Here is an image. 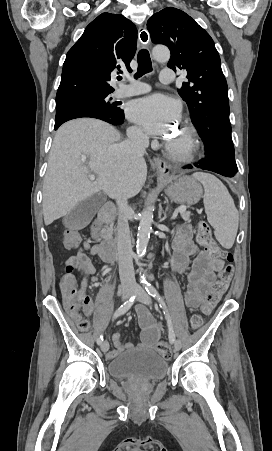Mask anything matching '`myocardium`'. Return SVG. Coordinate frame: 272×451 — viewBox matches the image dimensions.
<instances>
[{
  "instance_id": "f54148a6",
  "label": "myocardium",
  "mask_w": 272,
  "mask_h": 451,
  "mask_svg": "<svg viewBox=\"0 0 272 451\" xmlns=\"http://www.w3.org/2000/svg\"><path fill=\"white\" fill-rule=\"evenodd\" d=\"M183 133L185 135V140L183 143L176 145L174 148L177 154H185L192 150L195 141V132L189 127L185 126L183 128Z\"/></svg>"
}]
</instances>
